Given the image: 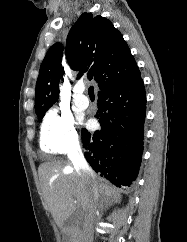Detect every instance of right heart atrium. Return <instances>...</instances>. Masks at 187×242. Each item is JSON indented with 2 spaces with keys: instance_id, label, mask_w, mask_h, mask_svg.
<instances>
[{
  "instance_id": "d8ad5b80",
  "label": "right heart atrium",
  "mask_w": 187,
  "mask_h": 242,
  "mask_svg": "<svg viewBox=\"0 0 187 242\" xmlns=\"http://www.w3.org/2000/svg\"><path fill=\"white\" fill-rule=\"evenodd\" d=\"M40 145L50 154H63L77 148L78 135L72 116L58 108L50 109L41 125Z\"/></svg>"
}]
</instances>
